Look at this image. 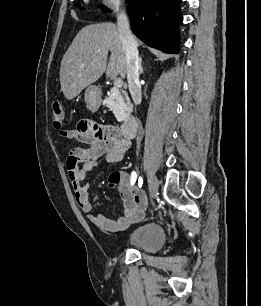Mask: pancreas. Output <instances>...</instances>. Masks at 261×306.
I'll use <instances>...</instances> for the list:
<instances>
[{
    "mask_svg": "<svg viewBox=\"0 0 261 306\" xmlns=\"http://www.w3.org/2000/svg\"><path fill=\"white\" fill-rule=\"evenodd\" d=\"M103 103L113 111L119 122L125 120L131 111L130 100L127 93L124 91L121 92L118 88H112Z\"/></svg>",
    "mask_w": 261,
    "mask_h": 306,
    "instance_id": "obj_1",
    "label": "pancreas"
}]
</instances>
